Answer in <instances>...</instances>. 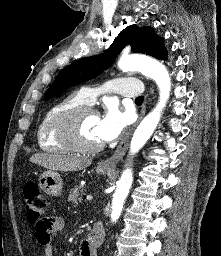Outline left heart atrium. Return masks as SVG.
<instances>
[{
	"mask_svg": "<svg viewBox=\"0 0 221 256\" xmlns=\"http://www.w3.org/2000/svg\"><path fill=\"white\" fill-rule=\"evenodd\" d=\"M129 113L121 111L116 104H109L105 113L99 118L97 135L101 142L116 139L130 123Z\"/></svg>",
	"mask_w": 221,
	"mask_h": 256,
	"instance_id": "left-heart-atrium-1",
	"label": "left heart atrium"
}]
</instances>
